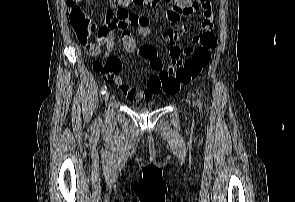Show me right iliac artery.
I'll return each instance as SVG.
<instances>
[{
    "instance_id": "right-iliac-artery-1",
    "label": "right iliac artery",
    "mask_w": 295,
    "mask_h": 202,
    "mask_svg": "<svg viewBox=\"0 0 295 202\" xmlns=\"http://www.w3.org/2000/svg\"><path fill=\"white\" fill-rule=\"evenodd\" d=\"M100 92H101L102 95H104L107 92V86L106 85H103L101 87V91Z\"/></svg>"
}]
</instances>
